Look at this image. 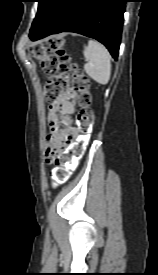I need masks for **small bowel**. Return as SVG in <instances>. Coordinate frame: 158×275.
I'll return each instance as SVG.
<instances>
[{"label":"small bowel","instance_id":"small-bowel-1","mask_svg":"<svg viewBox=\"0 0 158 275\" xmlns=\"http://www.w3.org/2000/svg\"><path fill=\"white\" fill-rule=\"evenodd\" d=\"M76 94L69 91L55 102L50 103L48 122L49 134L45 143V158L48 163L63 153L78 138V132L72 127L71 116L75 112Z\"/></svg>","mask_w":158,"mask_h":275}]
</instances>
